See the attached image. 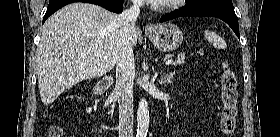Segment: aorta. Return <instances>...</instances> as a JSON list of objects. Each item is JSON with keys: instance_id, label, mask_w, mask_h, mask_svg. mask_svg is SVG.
<instances>
[{"instance_id": "obj_1", "label": "aorta", "mask_w": 280, "mask_h": 137, "mask_svg": "<svg viewBox=\"0 0 280 137\" xmlns=\"http://www.w3.org/2000/svg\"><path fill=\"white\" fill-rule=\"evenodd\" d=\"M149 128V108L145 98H142L137 110V137H147Z\"/></svg>"}]
</instances>
